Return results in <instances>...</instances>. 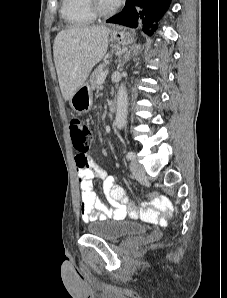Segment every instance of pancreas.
Masks as SVG:
<instances>
[{
  "instance_id": "pancreas-1",
  "label": "pancreas",
  "mask_w": 227,
  "mask_h": 298,
  "mask_svg": "<svg viewBox=\"0 0 227 298\" xmlns=\"http://www.w3.org/2000/svg\"><path fill=\"white\" fill-rule=\"evenodd\" d=\"M106 67L105 63L100 64L92 73V75L90 76V86L92 88V90H95L96 88L99 87V84L97 82L98 77L103 74L104 69Z\"/></svg>"
}]
</instances>
